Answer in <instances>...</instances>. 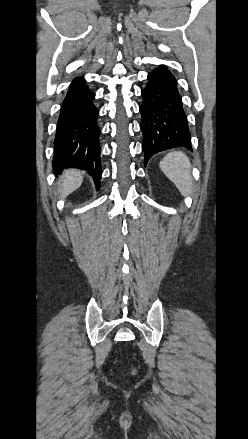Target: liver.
Segmentation results:
<instances>
[{
    "label": "liver",
    "mask_w": 248,
    "mask_h": 439,
    "mask_svg": "<svg viewBox=\"0 0 248 439\" xmlns=\"http://www.w3.org/2000/svg\"><path fill=\"white\" fill-rule=\"evenodd\" d=\"M83 176L79 170H66L59 182V193L64 198L78 189L82 184Z\"/></svg>",
    "instance_id": "6515ba94"
}]
</instances>
